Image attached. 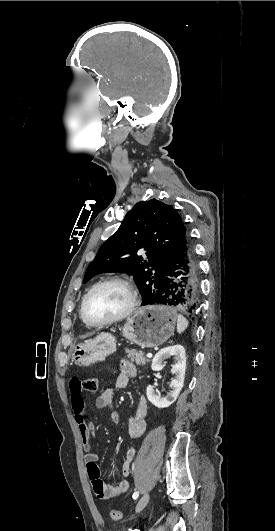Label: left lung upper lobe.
Instances as JSON below:
<instances>
[{"mask_svg":"<svg viewBox=\"0 0 275 531\" xmlns=\"http://www.w3.org/2000/svg\"><path fill=\"white\" fill-rule=\"evenodd\" d=\"M186 233L172 206L156 199L138 202L100 247L86 270L84 283L99 273L127 272L133 275L142 305L153 304L163 291L170 261ZM141 250L146 260L137 255Z\"/></svg>","mask_w":275,"mask_h":531,"instance_id":"obj_1","label":"left lung upper lobe"}]
</instances>
